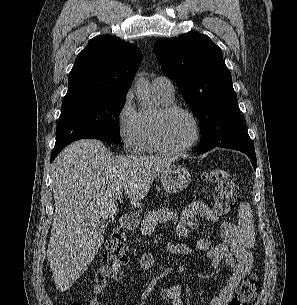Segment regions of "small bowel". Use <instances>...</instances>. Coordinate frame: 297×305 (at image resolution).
Returning <instances> with one entry per match:
<instances>
[{"label":"small bowel","instance_id":"small-bowel-1","mask_svg":"<svg viewBox=\"0 0 297 305\" xmlns=\"http://www.w3.org/2000/svg\"><path fill=\"white\" fill-rule=\"evenodd\" d=\"M202 220L216 222L218 216L210 206L203 202L191 203L180 212L177 234L181 237L187 236L190 230L199 228ZM220 238L221 242L216 245L213 244L212 239L203 238L194 245L167 243L165 246L166 251L172 254L202 253L213 269L220 267L223 262L229 266L230 271L210 305H229L235 290L247 276L253 263L248 245L234 223L230 221L221 223ZM153 264L154 259L151 254L143 253L141 255L139 266L143 270H149ZM122 277L123 271L116 265L100 270L93 286L94 297L88 305H102V295L108 280L118 281ZM159 294L170 305H183L182 287L178 284L161 289Z\"/></svg>","mask_w":297,"mask_h":305}]
</instances>
